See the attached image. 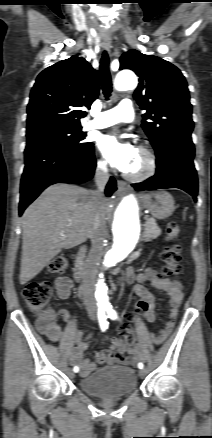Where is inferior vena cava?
Here are the masks:
<instances>
[{
  "mask_svg": "<svg viewBox=\"0 0 212 438\" xmlns=\"http://www.w3.org/2000/svg\"><path fill=\"white\" fill-rule=\"evenodd\" d=\"M109 180L107 170L99 165L95 172V182L97 190L93 192L96 203L95 216L90 232L91 249L84 266L83 290L85 304L88 310H95L97 303L94 295V282L97 276V268L103 254V241L106 235L105 215H104V188Z\"/></svg>",
  "mask_w": 212,
  "mask_h": 438,
  "instance_id": "602c4592",
  "label": "inferior vena cava"
}]
</instances>
